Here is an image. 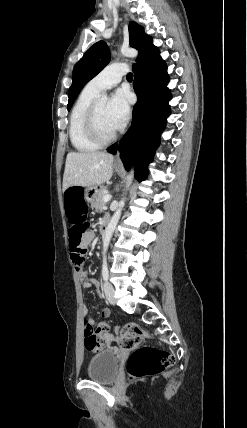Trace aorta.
<instances>
[{"label": "aorta", "instance_id": "762f6f07", "mask_svg": "<svg viewBox=\"0 0 247 428\" xmlns=\"http://www.w3.org/2000/svg\"><path fill=\"white\" fill-rule=\"evenodd\" d=\"M126 55L128 57L134 58V57H137L138 52L135 49H129V50L126 51ZM107 99H108L107 95L103 94L101 96V98H100V101L102 103H105L107 101ZM133 175H134V169L132 168L131 171H130L129 178H128L129 179V184H130V182H131V180L133 178ZM129 184H127V186H129ZM124 204H125V198L121 199V201L119 202L118 208L114 212V214H113V216H112V218H111V220H110V222H109V224H108V226L106 228L105 235H104V238H103V251L104 252H106L107 249H108V246L110 244L111 238L113 236V233L115 231L117 223H118V221L120 219L121 211H122V208H123Z\"/></svg>", "mask_w": 247, "mask_h": 428}]
</instances>
